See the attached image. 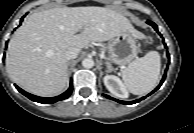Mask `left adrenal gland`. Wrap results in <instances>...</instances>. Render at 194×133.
<instances>
[{
    "label": "left adrenal gland",
    "instance_id": "obj_1",
    "mask_svg": "<svg viewBox=\"0 0 194 133\" xmlns=\"http://www.w3.org/2000/svg\"><path fill=\"white\" fill-rule=\"evenodd\" d=\"M113 70H114V68L109 63H107V70H106V72L109 73V72H111Z\"/></svg>",
    "mask_w": 194,
    "mask_h": 133
}]
</instances>
